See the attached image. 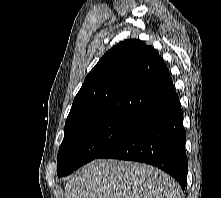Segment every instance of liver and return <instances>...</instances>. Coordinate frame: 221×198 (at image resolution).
<instances>
[{"label":"liver","mask_w":221,"mask_h":198,"mask_svg":"<svg viewBox=\"0 0 221 198\" xmlns=\"http://www.w3.org/2000/svg\"><path fill=\"white\" fill-rule=\"evenodd\" d=\"M65 198H181L179 184L143 163L93 160L65 186Z\"/></svg>","instance_id":"6515ba94"}]
</instances>
